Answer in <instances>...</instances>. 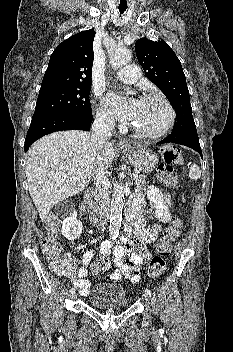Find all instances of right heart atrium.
I'll list each match as a JSON object with an SVG mask.
<instances>
[{"label":"right heart atrium","instance_id":"d8ad5b80","mask_svg":"<svg viewBox=\"0 0 233 352\" xmlns=\"http://www.w3.org/2000/svg\"><path fill=\"white\" fill-rule=\"evenodd\" d=\"M96 120L98 123L104 126H112L114 124V117L112 113L104 107H100L97 110Z\"/></svg>","mask_w":233,"mask_h":352}]
</instances>
